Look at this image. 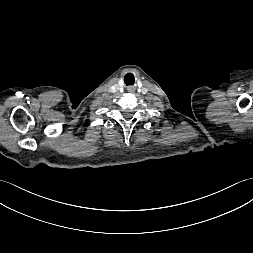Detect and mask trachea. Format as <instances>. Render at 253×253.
<instances>
[{
	"label": "trachea",
	"instance_id": "trachea-1",
	"mask_svg": "<svg viewBox=\"0 0 253 253\" xmlns=\"http://www.w3.org/2000/svg\"><path fill=\"white\" fill-rule=\"evenodd\" d=\"M126 85H133L134 81L133 82H125Z\"/></svg>",
	"mask_w": 253,
	"mask_h": 253
}]
</instances>
